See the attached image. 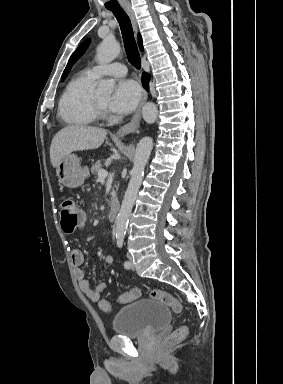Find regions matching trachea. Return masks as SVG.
Listing matches in <instances>:
<instances>
[{"label":"trachea","mask_w":283,"mask_h":384,"mask_svg":"<svg viewBox=\"0 0 283 384\" xmlns=\"http://www.w3.org/2000/svg\"><path fill=\"white\" fill-rule=\"evenodd\" d=\"M107 10H111V12H113L114 16L118 20V23L120 25V30L122 32V38H123L124 48L126 51L128 62H130L131 65H133V67L139 70L141 68V59H140L139 51L134 38L133 28L131 25L130 18L121 7L108 8Z\"/></svg>","instance_id":"1"}]
</instances>
